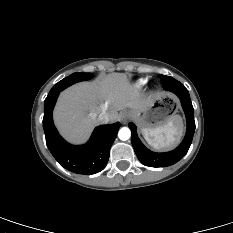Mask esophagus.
<instances>
[{"label":"esophagus","instance_id":"esophagus-1","mask_svg":"<svg viewBox=\"0 0 233 233\" xmlns=\"http://www.w3.org/2000/svg\"><path fill=\"white\" fill-rule=\"evenodd\" d=\"M129 118H130V114L127 111L122 112L120 115V119L123 123H126L129 120Z\"/></svg>","mask_w":233,"mask_h":233}]
</instances>
